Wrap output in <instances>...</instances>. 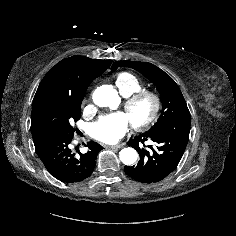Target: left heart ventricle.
Here are the masks:
<instances>
[{
  "label": "left heart ventricle",
  "mask_w": 236,
  "mask_h": 236,
  "mask_svg": "<svg viewBox=\"0 0 236 236\" xmlns=\"http://www.w3.org/2000/svg\"><path fill=\"white\" fill-rule=\"evenodd\" d=\"M150 111L151 102L149 100H142L127 115L130 120L141 121L148 116Z\"/></svg>",
  "instance_id": "1"
}]
</instances>
